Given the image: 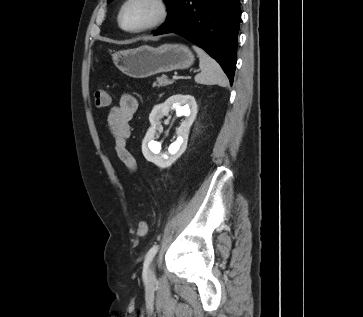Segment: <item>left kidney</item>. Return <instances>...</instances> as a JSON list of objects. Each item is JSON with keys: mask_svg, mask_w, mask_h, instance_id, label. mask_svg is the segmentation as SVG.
I'll return each instance as SVG.
<instances>
[{"mask_svg": "<svg viewBox=\"0 0 363 317\" xmlns=\"http://www.w3.org/2000/svg\"><path fill=\"white\" fill-rule=\"evenodd\" d=\"M170 109H175L177 115L185 116L186 118L176 130L177 140L169 146L168 152L160 154L161 144L154 141L156 126L162 117L168 115ZM196 115L197 103L195 98L191 95H173L164 103L154 106L149 115L151 127L147 131L142 144V153L144 157L161 168L171 166L187 148L190 127L193 124Z\"/></svg>", "mask_w": 363, "mask_h": 317, "instance_id": "5707ae66", "label": "left kidney"}]
</instances>
